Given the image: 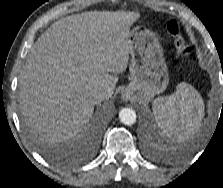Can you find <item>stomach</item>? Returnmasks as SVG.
Returning <instances> with one entry per match:
<instances>
[{
    "label": "stomach",
    "instance_id": "stomach-1",
    "mask_svg": "<svg viewBox=\"0 0 223 188\" xmlns=\"http://www.w3.org/2000/svg\"><path fill=\"white\" fill-rule=\"evenodd\" d=\"M130 83L123 92L124 97L149 102L155 95L165 91L168 68L163 51L153 33L142 26L129 32Z\"/></svg>",
    "mask_w": 223,
    "mask_h": 188
}]
</instances>
